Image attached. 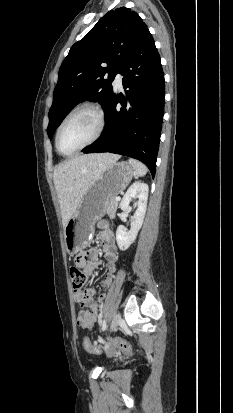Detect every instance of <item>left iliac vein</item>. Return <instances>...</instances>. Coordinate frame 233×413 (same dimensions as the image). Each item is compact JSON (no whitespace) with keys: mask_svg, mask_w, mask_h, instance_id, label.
Listing matches in <instances>:
<instances>
[{"mask_svg":"<svg viewBox=\"0 0 233 413\" xmlns=\"http://www.w3.org/2000/svg\"><path fill=\"white\" fill-rule=\"evenodd\" d=\"M120 322H121V315L120 313H116L111 322V327H110L111 332H114L118 329Z\"/></svg>","mask_w":233,"mask_h":413,"instance_id":"4c4485c4","label":"left iliac vein"}]
</instances>
